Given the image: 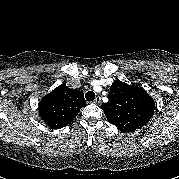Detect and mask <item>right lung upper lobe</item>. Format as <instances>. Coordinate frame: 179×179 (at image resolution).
Wrapping results in <instances>:
<instances>
[{"instance_id": "cb5924a9", "label": "right lung upper lobe", "mask_w": 179, "mask_h": 179, "mask_svg": "<svg viewBox=\"0 0 179 179\" xmlns=\"http://www.w3.org/2000/svg\"><path fill=\"white\" fill-rule=\"evenodd\" d=\"M85 105L83 93L63 83L41 99L38 110L46 125L60 129L69 124Z\"/></svg>"}]
</instances>
